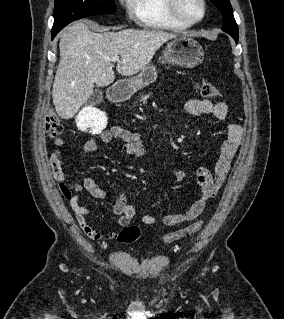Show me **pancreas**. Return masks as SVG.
Listing matches in <instances>:
<instances>
[{"label":"pancreas","mask_w":284,"mask_h":319,"mask_svg":"<svg viewBox=\"0 0 284 319\" xmlns=\"http://www.w3.org/2000/svg\"><path fill=\"white\" fill-rule=\"evenodd\" d=\"M149 98V95H141V99L140 102H142L143 104L147 103V99Z\"/></svg>","instance_id":"pancreas-1"}]
</instances>
